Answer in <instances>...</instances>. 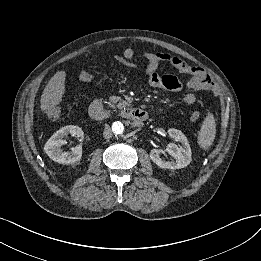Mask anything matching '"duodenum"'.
<instances>
[{"label":"duodenum","instance_id":"obj_1","mask_svg":"<svg viewBox=\"0 0 261 261\" xmlns=\"http://www.w3.org/2000/svg\"><path fill=\"white\" fill-rule=\"evenodd\" d=\"M89 113L96 120H104L110 116V112L104 109L99 102L92 104ZM123 115L137 125L142 124L148 117V113L139 108H129L123 112Z\"/></svg>","mask_w":261,"mask_h":261}]
</instances>
